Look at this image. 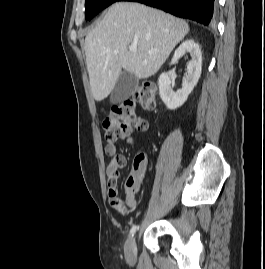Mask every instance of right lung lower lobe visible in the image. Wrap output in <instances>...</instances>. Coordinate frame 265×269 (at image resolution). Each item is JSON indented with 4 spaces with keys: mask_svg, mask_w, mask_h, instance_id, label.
Here are the masks:
<instances>
[{
    "mask_svg": "<svg viewBox=\"0 0 265 269\" xmlns=\"http://www.w3.org/2000/svg\"><path fill=\"white\" fill-rule=\"evenodd\" d=\"M139 2L175 16L208 25L215 13V0H122Z\"/></svg>",
    "mask_w": 265,
    "mask_h": 269,
    "instance_id": "98d812e1",
    "label": "right lung lower lobe"
}]
</instances>
